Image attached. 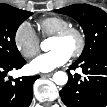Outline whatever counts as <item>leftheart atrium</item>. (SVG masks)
<instances>
[{
	"mask_svg": "<svg viewBox=\"0 0 107 107\" xmlns=\"http://www.w3.org/2000/svg\"><path fill=\"white\" fill-rule=\"evenodd\" d=\"M70 54L63 49H54L39 55L30 64L35 72L46 73L68 62Z\"/></svg>",
	"mask_w": 107,
	"mask_h": 107,
	"instance_id": "obj_1",
	"label": "left heart atrium"
}]
</instances>
